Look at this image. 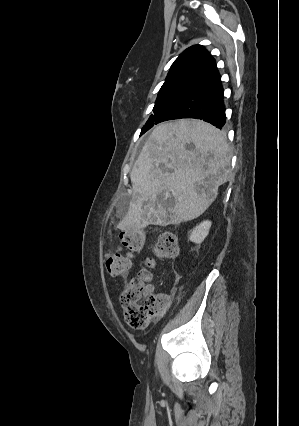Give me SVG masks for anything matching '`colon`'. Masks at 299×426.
<instances>
[{
    "label": "colon",
    "mask_w": 299,
    "mask_h": 426,
    "mask_svg": "<svg viewBox=\"0 0 299 426\" xmlns=\"http://www.w3.org/2000/svg\"><path fill=\"white\" fill-rule=\"evenodd\" d=\"M146 234L142 229L127 230L120 234L118 250L105 256V266L112 276H121L131 267V256L142 250ZM154 256L158 259L174 258L178 253L176 237L171 233L161 234L153 247ZM148 268L154 266V259L146 261ZM151 274L148 269L142 270L137 277L131 279L120 294V304L124 318L129 326L135 329L145 328L149 321L162 314L168 306L166 294H153L149 285Z\"/></svg>",
    "instance_id": "1"
}]
</instances>
